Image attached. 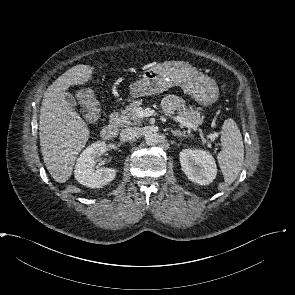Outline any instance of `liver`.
<instances>
[{"label":"liver","instance_id":"6515ba94","mask_svg":"<svg viewBox=\"0 0 295 295\" xmlns=\"http://www.w3.org/2000/svg\"><path fill=\"white\" fill-rule=\"evenodd\" d=\"M93 70L89 65H76L44 93L39 119L41 153L48 172L58 183L69 180L76 158L90 136L84 120L66 101L65 91L85 84L92 78Z\"/></svg>","mask_w":295,"mask_h":295}]
</instances>
